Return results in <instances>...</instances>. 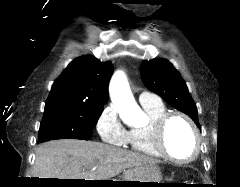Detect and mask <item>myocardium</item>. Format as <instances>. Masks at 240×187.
<instances>
[{"instance_id": "f54148a6", "label": "myocardium", "mask_w": 240, "mask_h": 187, "mask_svg": "<svg viewBox=\"0 0 240 187\" xmlns=\"http://www.w3.org/2000/svg\"><path fill=\"white\" fill-rule=\"evenodd\" d=\"M179 117L183 119L190 129L192 130V133L194 135L195 140V147H194V153L191 157L187 159H178L174 156H172L169 151L167 150L165 146V133L166 128L169 123V121L174 118ZM152 139H153V145L157 152L165 159L176 163V164H188L193 161H195L200 153H201V136L199 133V129L194 123V121L186 114L179 112V111H169L164 113L161 117H159L152 126Z\"/></svg>"}]
</instances>
